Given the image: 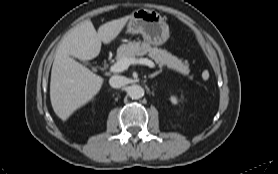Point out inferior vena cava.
Returning a JSON list of instances; mask_svg holds the SVG:
<instances>
[{
	"instance_id": "inferior-vena-cava-1",
	"label": "inferior vena cava",
	"mask_w": 278,
	"mask_h": 174,
	"mask_svg": "<svg viewBox=\"0 0 278 174\" xmlns=\"http://www.w3.org/2000/svg\"><path fill=\"white\" fill-rule=\"evenodd\" d=\"M109 83L113 88H121L126 84V78L115 75L110 78Z\"/></svg>"
}]
</instances>
